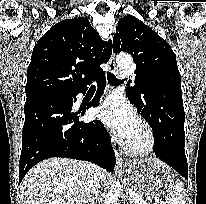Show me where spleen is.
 <instances>
[{
	"label": "spleen",
	"instance_id": "obj_1",
	"mask_svg": "<svg viewBox=\"0 0 206 204\" xmlns=\"http://www.w3.org/2000/svg\"><path fill=\"white\" fill-rule=\"evenodd\" d=\"M172 185L170 186V190L168 192L165 201L167 204H184V183L180 180L176 181L174 188L172 189Z\"/></svg>",
	"mask_w": 206,
	"mask_h": 204
}]
</instances>
